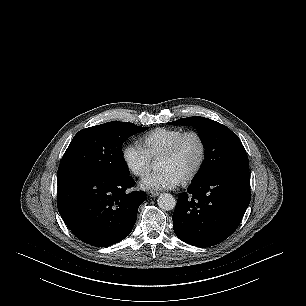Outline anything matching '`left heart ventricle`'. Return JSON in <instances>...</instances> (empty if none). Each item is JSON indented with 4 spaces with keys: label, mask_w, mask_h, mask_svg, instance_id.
Wrapping results in <instances>:
<instances>
[{
    "label": "left heart ventricle",
    "mask_w": 306,
    "mask_h": 306,
    "mask_svg": "<svg viewBox=\"0 0 306 306\" xmlns=\"http://www.w3.org/2000/svg\"><path fill=\"white\" fill-rule=\"evenodd\" d=\"M200 151L198 140L194 136H189L182 142L173 157L160 159L159 168L170 169L184 179L196 167L200 158Z\"/></svg>",
    "instance_id": "1"
}]
</instances>
